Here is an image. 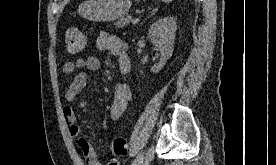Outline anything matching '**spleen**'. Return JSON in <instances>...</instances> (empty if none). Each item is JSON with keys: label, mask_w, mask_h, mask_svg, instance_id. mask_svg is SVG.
I'll list each match as a JSON object with an SVG mask.
<instances>
[{"label": "spleen", "mask_w": 276, "mask_h": 165, "mask_svg": "<svg viewBox=\"0 0 276 165\" xmlns=\"http://www.w3.org/2000/svg\"><path fill=\"white\" fill-rule=\"evenodd\" d=\"M163 2H165V3H169V2H171L172 0H162Z\"/></svg>", "instance_id": "3e777b00"}]
</instances>
